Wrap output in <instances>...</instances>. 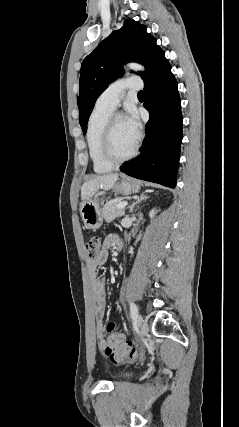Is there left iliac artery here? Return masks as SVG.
<instances>
[{
	"mask_svg": "<svg viewBox=\"0 0 239 427\" xmlns=\"http://www.w3.org/2000/svg\"><path fill=\"white\" fill-rule=\"evenodd\" d=\"M130 315L132 319L137 318L138 315V307L133 302L130 303Z\"/></svg>",
	"mask_w": 239,
	"mask_h": 427,
	"instance_id": "44dca946",
	"label": "left iliac artery"
}]
</instances>
